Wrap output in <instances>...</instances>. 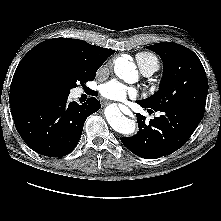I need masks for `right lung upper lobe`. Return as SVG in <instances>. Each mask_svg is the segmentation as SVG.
<instances>
[{
  "label": "right lung upper lobe",
  "instance_id": "right-lung-upper-lobe-1",
  "mask_svg": "<svg viewBox=\"0 0 221 221\" xmlns=\"http://www.w3.org/2000/svg\"><path fill=\"white\" fill-rule=\"evenodd\" d=\"M115 51L69 38H54L39 43L20 61L10 86L9 102L19 96H47L33 78L38 67L59 61H69L88 71H96Z\"/></svg>",
  "mask_w": 221,
  "mask_h": 221
}]
</instances>
